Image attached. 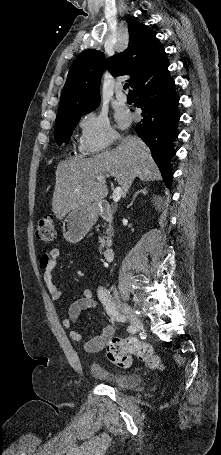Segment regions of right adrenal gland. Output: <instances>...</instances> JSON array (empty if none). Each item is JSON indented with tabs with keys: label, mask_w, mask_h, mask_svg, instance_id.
<instances>
[{
	"label": "right adrenal gland",
	"mask_w": 221,
	"mask_h": 455,
	"mask_svg": "<svg viewBox=\"0 0 221 455\" xmlns=\"http://www.w3.org/2000/svg\"><path fill=\"white\" fill-rule=\"evenodd\" d=\"M139 193H143L144 195H146V194H147V189H146V188H143V189L137 191V192L133 195L132 200H131L129 206H132V205H133L134 200H135V198L138 196Z\"/></svg>",
	"instance_id": "obj_1"
}]
</instances>
